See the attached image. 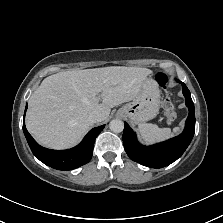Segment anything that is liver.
<instances>
[{"mask_svg": "<svg viewBox=\"0 0 223 223\" xmlns=\"http://www.w3.org/2000/svg\"><path fill=\"white\" fill-rule=\"evenodd\" d=\"M151 73L147 68L110 66L53 74L31 95L26 128L43 147L70 149L93 125L92 111L107 119L111 108L135 98Z\"/></svg>", "mask_w": 223, "mask_h": 223, "instance_id": "1", "label": "liver"}]
</instances>
